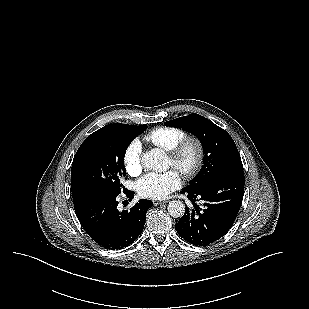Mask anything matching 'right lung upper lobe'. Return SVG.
Segmentation results:
<instances>
[{"label":"right lung upper lobe","mask_w":309,"mask_h":309,"mask_svg":"<svg viewBox=\"0 0 309 309\" xmlns=\"http://www.w3.org/2000/svg\"><path fill=\"white\" fill-rule=\"evenodd\" d=\"M110 125H112V124H109V125H106V126L102 127L101 129L97 130L96 132L92 133L91 135H93V134H95V133H98V132H100V131L105 130V129L108 128ZM79 198H81V196H79V195H73V199H74V200H77V199H79Z\"/></svg>","instance_id":"cb5924a9"}]
</instances>
